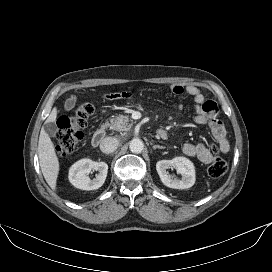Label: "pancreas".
Listing matches in <instances>:
<instances>
[{"instance_id":"obj_1","label":"pancreas","mask_w":272,"mask_h":272,"mask_svg":"<svg viewBox=\"0 0 272 272\" xmlns=\"http://www.w3.org/2000/svg\"><path fill=\"white\" fill-rule=\"evenodd\" d=\"M110 128L114 131H128L132 126V122L127 115H116L110 120Z\"/></svg>"}]
</instances>
